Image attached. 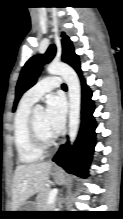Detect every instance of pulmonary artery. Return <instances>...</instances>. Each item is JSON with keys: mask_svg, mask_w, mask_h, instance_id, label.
<instances>
[{"mask_svg": "<svg viewBox=\"0 0 123 219\" xmlns=\"http://www.w3.org/2000/svg\"><path fill=\"white\" fill-rule=\"evenodd\" d=\"M61 78L58 76H49L40 80L37 84L31 87L23 95V100L34 104L46 93L50 92L54 88L60 87Z\"/></svg>", "mask_w": 123, "mask_h": 219, "instance_id": "pulmonary-artery-1", "label": "pulmonary artery"}]
</instances>
